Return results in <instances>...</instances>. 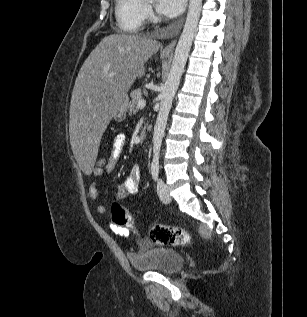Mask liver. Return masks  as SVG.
Returning <instances> with one entry per match:
<instances>
[{
    "label": "liver",
    "mask_w": 307,
    "mask_h": 317,
    "mask_svg": "<svg viewBox=\"0 0 307 317\" xmlns=\"http://www.w3.org/2000/svg\"><path fill=\"white\" fill-rule=\"evenodd\" d=\"M161 47L144 35L104 37L82 65L70 104V143L83 175H92L101 137L145 64Z\"/></svg>",
    "instance_id": "6515ba94"
}]
</instances>
